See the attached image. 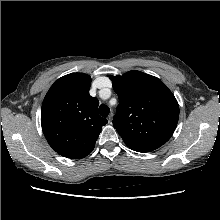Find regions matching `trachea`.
Here are the masks:
<instances>
[{
	"mask_svg": "<svg viewBox=\"0 0 220 220\" xmlns=\"http://www.w3.org/2000/svg\"><path fill=\"white\" fill-rule=\"evenodd\" d=\"M109 112H110V109H109L108 106H106V105H104V104L100 105V107H99V114H100L102 117H107L108 114H109Z\"/></svg>",
	"mask_w": 220,
	"mask_h": 220,
	"instance_id": "1",
	"label": "trachea"
}]
</instances>
